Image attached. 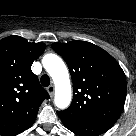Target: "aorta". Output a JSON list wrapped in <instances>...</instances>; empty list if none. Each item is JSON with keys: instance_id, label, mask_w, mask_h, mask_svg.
Here are the masks:
<instances>
[{"instance_id": "obj_1", "label": "aorta", "mask_w": 136, "mask_h": 136, "mask_svg": "<svg viewBox=\"0 0 136 136\" xmlns=\"http://www.w3.org/2000/svg\"><path fill=\"white\" fill-rule=\"evenodd\" d=\"M42 64L55 85V105L60 109L67 108L71 102V84L66 65L56 54H46Z\"/></svg>"}]
</instances>
